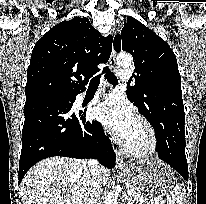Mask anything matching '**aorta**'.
<instances>
[{
    "label": "aorta",
    "instance_id": "aorta-1",
    "mask_svg": "<svg viewBox=\"0 0 206 204\" xmlns=\"http://www.w3.org/2000/svg\"><path fill=\"white\" fill-rule=\"evenodd\" d=\"M116 61L119 66H129L133 59L130 54L121 53L117 56ZM118 195L117 189H113L107 194L104 204H117Z\"/></svg>",
    "mask_w": 206,
    "mask_h": 204
}]
</instances>
